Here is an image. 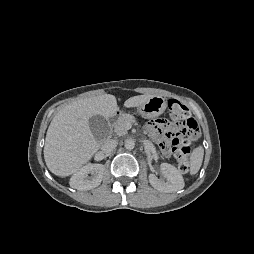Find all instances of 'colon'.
<instances>
[{"label": "colon", "instance_id": "1", "mask_svg": "<svg viewBox=\"0 0 254 254\" xmlns=\"http://www.w3.org/2000/svg\"><path fill=\"white\" fill-rule=\"evenodd\" d=\"M169 120L166 123L174 125L173 130L165 131L164 135L173 147V156L182 172L189 170L187 158L190 144L200 135V127L195 118L190 116L188 107L176 99L168 101Z\"/></svg>", "mask_w": 254, "mask_h": 254}]
</instances>
